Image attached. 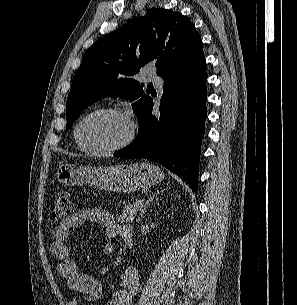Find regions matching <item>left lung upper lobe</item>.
Masks as SVG:
<instances>
[{
	"label": "left lung upper lobe",
	"mask_w": 297,
	"mask_h": 305,
	"mask_svg": "<svg viewBox=\"0 0 297 305\" xmlns=\"http://www.w3.org/2000/svg\"><path fill=\"white\" fill-rule=\"evenodd\" d=\"M148 64H154L162 78L183 67L206 69L202 40L187 17L152 8L87 49L67 98L66 128L105 96L137 100L132 108L140 116L152 98L143 96V84L128 76Z\"/></svg>",
	"instance_id": "1"
}]
</instances>
